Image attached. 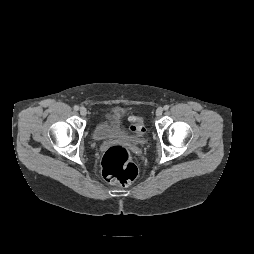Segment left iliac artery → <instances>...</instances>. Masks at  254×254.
Listing matches in <instances>:
<instances>
[{"label":"left iliac artery","mask_w":254,"mask_h":254,"mask_svg":"<svg viewBox=\"0 0 254 254\" xmlns=\"http://www.w3.org/2000/svg\"><path fill=\"white\" fill-rule=\"evenodd\" d=\"M169 109V106L168 105H165L164 106V110H168Z\"/></svg>","instance_id":"1"}]
</instances>
